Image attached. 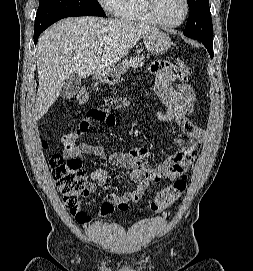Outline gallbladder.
I'll list each match as a JSON object with an SVG mask.
<instances>
[{"label":"gallbladder","instance_id":"obj_1","mask_svg":"<svg viewBox=\"0 0 253 271\" xmlns=\"http://www.w3.org/2000/svg\"><path fill=\"white\" fill-rule=\"evenodd\" d=\"M81 86V79L77 75H72L68 79H66L61 92L60 96L62 99H71L76 96L79 92Z\"/></svg>","mask_w":253,"mask_h":271}]
</instances>
